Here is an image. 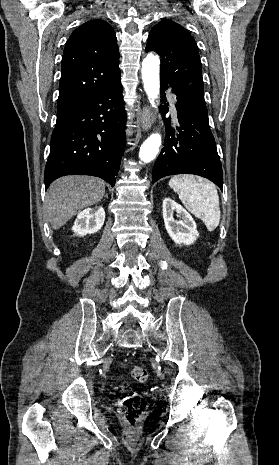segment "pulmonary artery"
I'll return each instance as SVG.
<instances>
[{
  "label": "pulmonary artery",
  "instance_id": "pulmonary-artery-1",
  "mask_svg": "<svg viewBox=\"0 0 279 465\" xmlns=\"http://www.w3.org/2000/svg\"><path fill=\"white\" fill-rule=\"evenodd\" d=\"M170 103H171V108H172V111L175 113L176 109H175V100L172 96H170Z\"/></svg>",
  "mask_w": 279,
  "mask_h": 465
}]
</instances>
